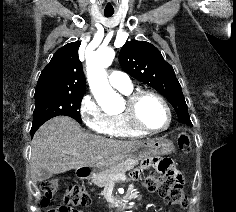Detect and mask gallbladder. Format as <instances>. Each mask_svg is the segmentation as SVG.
Segmentation results:
<instances>
[{
  "label": "gallbladder",
  "mask_w": 236,
  "mask_h": 212,
  "mask_svg": "<svg viewBox=\"0 0 236 212\" xmlns=\"http://www.w3.org/2000/svg\"><path fill=\"white\" fill-rule=\"evenodd\" d=\"M52 177V173L45 170V169H40L39 172H38V176H37V179L38 181H44L46 179H49Z\"/></svg>",
  "instance_id": "1"
}]
</instances>
